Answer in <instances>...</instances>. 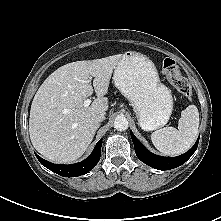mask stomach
Instances as JSON below:
<instances>
[{
  "instance_id": "1",
  "label": "stomach",
  "mask_w": 221,
  "mask_h": 221,
  "mask_svg": "<svg viewBox=\"0 0 221 221\" xmlns=\"http://www.w3.org/2000/svg\"><path fill=\"white\" fill-rule=\"evenodd\" d=\"M113 81L130 101L140 127L145 131L167 124L173 110V97L160 82L154 63L145 55L127 51L117 63Z\"/></svg>"
}]
</instances>
